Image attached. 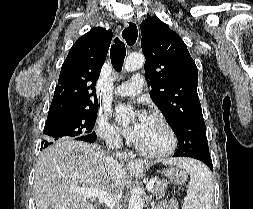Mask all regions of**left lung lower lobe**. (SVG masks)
<instances>
[{"instance_id": "0a47b994", "label": "left lung lower lobe", "mask_w": 253, "mask_h": 209, "mask_svg": "<svg viewBox=\"0 0 253 209\" xmlns=\"http://www.w3.org/2000/svg\"><path fill=\"white\" fill-rule=\"evenodd\" d=\"M174 157H177L174 154ZM191 158H195L198 159L200 161H202L203 163H205L211 170H213V166H212V160L210 156H198V157H191Z\"/></svg>"}]
</instances>
